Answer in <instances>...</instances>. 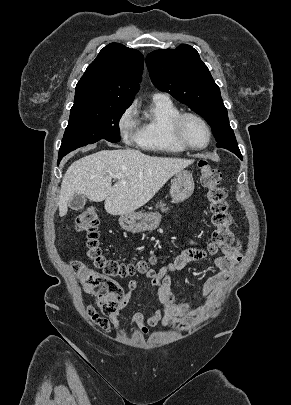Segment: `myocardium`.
Wrapping results in <instances>:
<instances>
[{
	"mask_svg": "<svg viewBox=\"0 0 291 405\" xmlns=\"http://www.w3.org/2000/svg\"><path fill=\"white\" fill-rule=\"evenodd\" d=\"M187 119H195L205 128L208 138L207 142L203 146H194L185 138L184 125ZM171 131L174 140L188 150L200 151L206 149L212 140V130L210 125L201 115L195 112H181L179 115H177L172 122Z\"/></svg>",
	"mask_w": 291,
	"mask_h": 405,
	"instance_id": "1",
	"label": "myocardium"
}]
</instances>
